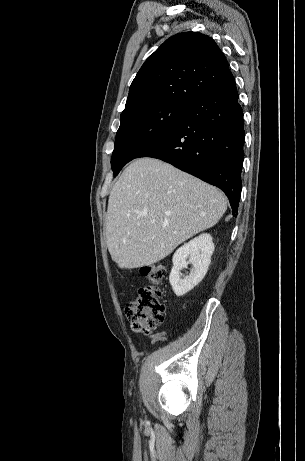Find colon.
Returning a JSON list of instances; mask_svg holds the SVG:
<instances>
[{
	"label": "colon",
	"instance_id": "colon-1",
	"mask_svg": "<svg viewBox=\"0 0 305 461\" xmlns=\"http://www.w3.org/2000/svg\"><path fill=\"white\" fill-rule=\"evenodd\" d=\"M167 273L164 263H154L142 269L149 284L139 289L138 296L127 303L125 314L135 332L151 333L164 321L165 305L161 301L160 285Z\"/></svg>",
	"mask_w": 305,
	"mask_h": 461
}]
</instances>
